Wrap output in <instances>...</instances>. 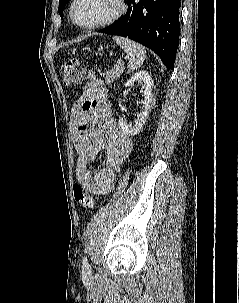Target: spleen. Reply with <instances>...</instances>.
Segmentation results:
<instances>
[{
  "label": "spleen",
  "mask_w": 239,
  "mask_h": 303,
  "mask_svg": "<svg viewBox=\"0 0 239 303\" xmlns=\"http://www.w3.org/2000/svg\"><path fill=\"white\" fill-rule=\"evenodd\" d=\"M113 40L129 55V63L128 67L130 70L138 69L144 62L146 58V50L145 48L132 41L128 38L124 37H113Z\"/></svg>",
  "instance_id": "obj_1"
}]
</instances>
